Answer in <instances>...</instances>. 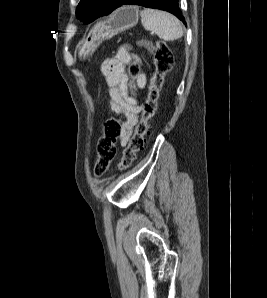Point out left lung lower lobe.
Here are the masks:
<instances>
[{"instance_id":"obj_1","label":"left lung lower lobe","mask_w":267,"mask_h":298,"mask_svg":"<svg viewBox=\"0 0 267 298\" xmlns=\"http://www.w3.org/2000/svg\"><path fill=\"white\" fill-rule=\"evenodd\" d=\"M125 4H133V5H140L148 8H156L168 11L178 17L184 24V18L182 17L181 11L178 7V0H116L114 4L111 6L110 10L105 12L104 14L98 15L95 19L101 16H105L110 14L116 8L125 5ZM94 20H91L87 23H90Z\"/></svg>"}]
</instances>
